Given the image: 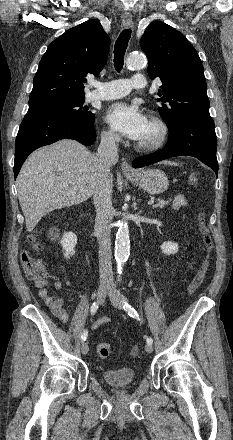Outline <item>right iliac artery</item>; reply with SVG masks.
<instances>
[{
	"mask_svg": "<svg viewBox=\"0 0 233 440\" xmlns=\"http://www.w3.org/2000/svg\"><path fill=\"white\" fill-rule=\"evenodd\" d=\"M98 307H99V303L98 302H94L92 304V306H91V309H90L91 314H95V312L97 311ZM87 336H88V331L84 330L82 335H81L82 342H84L87 339Z\"/></svg>",
	"mask_w": 233,
	"mask_h": 440,
	"instance_id": "obj_1",
	"label": "right iliac artery"
}]
</instances>
